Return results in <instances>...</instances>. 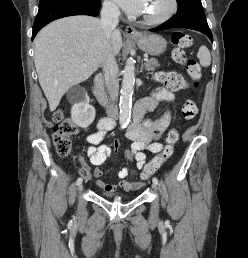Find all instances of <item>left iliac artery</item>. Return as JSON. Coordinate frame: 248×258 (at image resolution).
<instances>
[{"mask_svg": "<svg viewBox=\"0 0 248 258\" xmlns=\"http://www.w3.org/2000/svg\"><path fill=\"white\" fill-rule=\"evenodd\" d=\"M152 181H153V183L158 184V179H157L156 177H154V178L152 179Z\"/></svg>", "mask_w": 248, "mask_h": 258, "instance_id": "left-iliac-artery-1", "label": "left iliac artery"}]
</instances>
